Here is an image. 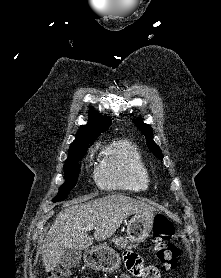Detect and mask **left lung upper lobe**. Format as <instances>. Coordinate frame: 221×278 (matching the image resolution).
Masks as SVG:
<instances>
[{
    "mask_svg": "<svg viewBox=\"0 0 221 278\" xmlns=\"http://www.w3.org/2000/svg\"><path fill=\"white\" fill-rule=\"evenodd\" d=\"M133 122L140 129V131L145 135L146 140H147V145H148L149 149L153 152V154L155 156H157L159 159L163 160V154H162L160 148L153 141V136H152L153 131H152L151 126H149L148 124L143 123L142 120L133 121Z\"/></svg>",
    "mask_w": 221,
    "mask_h": 278,
    "instance_id": "left-lung-upper-lobe-1",
    "label": "left lung upper lobe"
}]
</instances>
